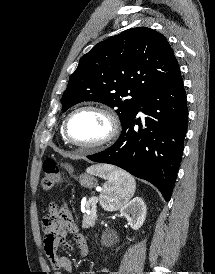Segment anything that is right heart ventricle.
<instances>
[{
	"instance_id": "obj_1",
	"label": "right heart ventricle",
	"mask_w": 215,
	"mask_h": 274,
	"mask_svg": "<svg viewBox=\"0 0 215 274\" xmlns=\"http://www.w3.org/2000/svg\"><path fill=\"white\" fill-rule=\"evenodd\" d=\"M61 133H62V136H63V131L61 130ZM63 139L65 140L64 136H63Z\"/></svg>"
}]
</instances>
